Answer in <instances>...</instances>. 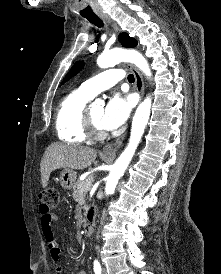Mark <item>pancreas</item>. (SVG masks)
Returning <instances> with one entry per match:
<instances>
[{"label": "pancreas", "instance_id": "obj_1", "mask_svg": "<svg viewBox=\"0 0 221 274\" xmlns=\"http://www.w3.org/2000/svg\"><path fill=\"white\" fill-rule=\"evenodd\" d=\"M90 178L84 180V181H77L73 187V199L76 200L79 205L86 209V205H85V195H86V192L84 190V186L86 185L87 181L89 180Z\"/></svg>", "mask_w": 221, "mask_h": 274}]
</instances>
